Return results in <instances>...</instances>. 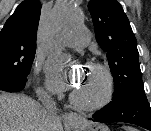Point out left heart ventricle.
<instances>
[{
    "label": "left heart ventricle",
    "instance_id": "b2bd125f",
    "mask_svg": "<svg viewBox=\"0 0 151 131\" xmlns=\"http://www.w3.org/2000/svg\"><path fill=\"white\" fill-rule=\"evenodd\" d=\"M73 88V93L78 97L84 100H92L103 91L104 80L98 71L87 68L81 73L78 83Z\"/></svg>",
    "mask_w": 151,
    "mask_h": 131
}]
</instances>
